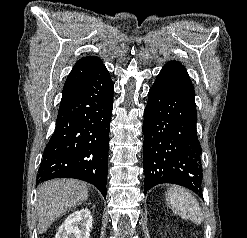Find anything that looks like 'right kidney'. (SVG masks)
<instances>
[{
    "label": "right kidney",
    "mask_w": 247,
    "mask_h": 238,
    "mask_svg": "<svg viewBox=\"0 0 247 238\" xmlns=\"http://www.w3.org/2000/svg\"><path fill=\"white\" fill-rule=\"evenodd\" d=\"M92 221L89 209L75 211L59 227L55 238H89Z\"/></svg>",
    "instance_id": "obj_1"
}]
</instances>
